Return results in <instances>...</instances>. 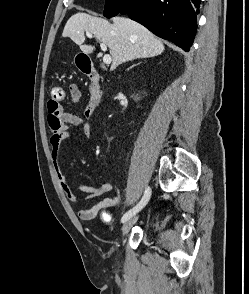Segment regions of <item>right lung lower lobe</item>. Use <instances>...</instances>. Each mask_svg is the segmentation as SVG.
Returning <instances> with one entry per match:
<instances>
[{"label": "right lung lower lobe", "mask_w": 249, "mask_h": 294, "mask_svg": "<svg viewBox=\"0 0 249 294\" xmlns=\"http://www.w3.org/2000/svg\"><path fill=\"white\" fill-rule=\"evenodd\" d=\"M201 0H129L119 13L185 51L193 43ZM118 13V14H119Z\"/></svg>", "instance_id": "1"}]
</instances>
